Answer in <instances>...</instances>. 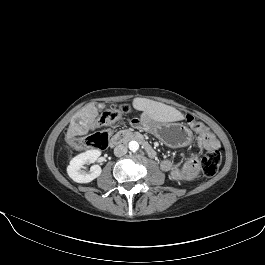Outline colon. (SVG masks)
<instances>
[{"label":"colon","instance_id":"colon-1","mask_svg":"<svg viewBox=\"0 0 265 265\" xmlns=\"http://www.w3.org/2000/svg\"><path fill=\"white\" fill-rule=\"evenodd\" d=\"M131 108L128 105L113 107L102 113L93 125V132L85 140L88 148L104 149L109 142L111 130L110 128L117 124L123 115L129 114ZM187 122L193 130L198 133L206 131V126L196 121L192 116L187 117ZM222 163V153L220 148L207 149L201 160V170L204 177L214 176Z\"/></svg>","mask_w":265,"mask_h":265}]
</instances>
